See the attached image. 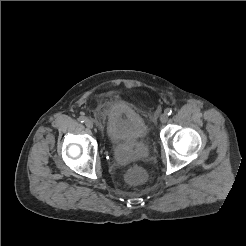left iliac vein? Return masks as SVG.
I'll return each instance as SVG.
<instances>
[{
	"mask_svg": "<svg viewBox=\"0 0 246 246\" xmlns=\"http://www.w3.org/2000/svg\"><path fill=\"white\" fill-rule=\"evenodd\" d=\"M167 120H168V115L166 113H163V114L160 115V121L162 123L167 122Z\"/></svg>",
	"mask_w": 246,
	"mask_h": 246,
	"instance_id": "4c4485c4",
	"label": "left iliac vein"
}]
</instances>
